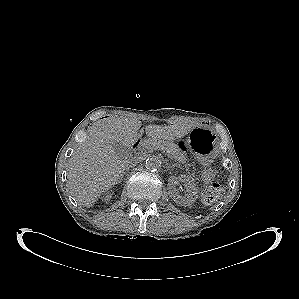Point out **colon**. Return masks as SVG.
<instances>
[{
  "mask_svg": "<svg viewBox=\"0 0 299 299\" xmlns=\"http://www.w3.org/2000/svg\"><path fill=\"white\" fill-rule=\"evenodd\" d=\"M216 176V170L208 168L203 173V180L207 183V186L202 192V201L206 204L212 203L219 193V185L214 182Z\"/></svg>",
  "mask_w": 299,
  "mask_h": 299,
  "instance_id": "1",
  "label": "colon"
}]
</instances>
